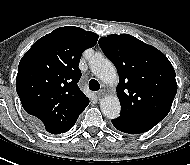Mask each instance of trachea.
I'll return each mask as SVG.
<instances>
[{"label":"trachea","mask_w":190,"mask_h":165,"mask_svg":"<svg viewBox=\"0 0 190 165\" xmlns=\"http://www.w3.org/2000/svg\"><path fill=\"white\" fill-rule=\"evenodd\" d=\"M99 88H100V85H99V83H98L97 80L91 79V80L89 81V89H90V90H92V91H98Z\"/></svg>","instance_id":"trachea-1"}]
</instances>
